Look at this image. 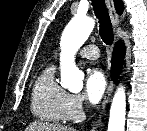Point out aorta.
Here are the masks:
<instances>
[{"mask_svg":"<svg viewBox=\"0 0 147 131\" xmlns=\"http://www.w3.org/2000/svg\"><path fill=\"white\" fill-rule=\"evenodd\" d=\"M90 17H74L66 26L61 38V85L71 92L83 88L84 73L75 65L74 54L85 43L94 28ZM126 115V95L124 87H119L114 95L108 123V131H124Z\"/></svg>","mask_w":147,"mask_h":131,"instance_id":"762f6f07","label":"aorta"}]
</instances>
